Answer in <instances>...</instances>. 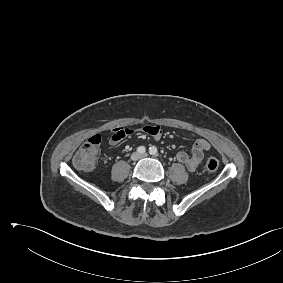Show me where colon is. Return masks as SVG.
Masks as SVG:
<instances>
[{"label":"colon","instance_id":"obj_1","mask_svg":"<svg viewBox=\"0 0 283 283\" xmlns=\"http://www.w3.org/2000/svg\"><path fill=\"white\" fill-rule=\"evenodd\" d=\"M100 143L101 137L99 135L90 137L75 153L73 157L75 167L81 170L93 169L96 164ZM205 166L208 171L214 172L219 167V160L215 157H209Z\"/></svg>","mask_w":283,"mask_h":283}]
</instances>
